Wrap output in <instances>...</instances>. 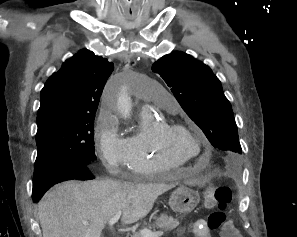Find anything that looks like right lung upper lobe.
<instances>
[{
	"label": "right lung upper lobe",
	"mask_w": 297,
	"mask_h": 237,
	"mask_svg": "<svg viewBox=\"0 0 297 237\" xmlns=\"http://www.w3.org/2000/svg\"><path fill=\"white\" fill-rule=\"evenodd\" d=\"M114 69L112 62L82 50L53 73L41 90L37 123L53 117L95 116L103 87Z\"/></svg>",
	"instance_id": "obj_1"
}]
</instances>
